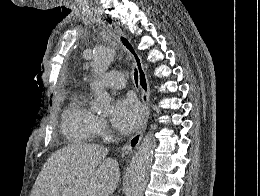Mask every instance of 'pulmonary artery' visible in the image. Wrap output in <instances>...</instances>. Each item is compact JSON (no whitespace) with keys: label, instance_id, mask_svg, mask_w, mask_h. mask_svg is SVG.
I'll return each mask as SVG.
<instances>
[{"label":"pulmonary artery","instance_id":"pulmonary-artery-1","mask_svg":"<svg viewBox=\"0 0 260 196\" xmlns=\"http://www.w3.org/2000/svg\"><path fill=\"white\" fill-rule=\"evenodd\" d=\"M123 77H125V72L115 69L112 74H109V79H99L98 82L93 83V86H101V90H124V85H108L123 83Z\"/></svg>","mask_w":260,"mask_h":196}]
</instances>
